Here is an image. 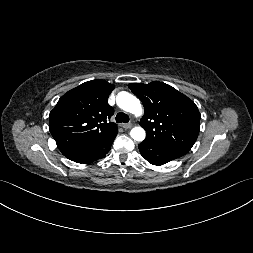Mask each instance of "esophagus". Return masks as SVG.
Segmentation results:
<instances>
[{"mask_svg": "<svg viewBox=\"0 0 253 253\" xmlns=\"http://www.w3.org/2000/svg\"><path fill=\"white\" fill-rule=\"evenodd\" d=\"M122 126H123V128H125V129H130V128L133 127V124H132V123H126V124H123Z\"/></svg>", "mask_w": 253, "mask_h": 253, "instance_id": "1", "label": "esophagus"}]
</instances>
